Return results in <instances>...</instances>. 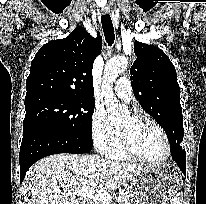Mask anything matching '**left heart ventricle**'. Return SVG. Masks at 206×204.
Instances as JSON below:
<instances>
[{"label":"left heart ventricle","mask_w":206,"mask_h":204,"mask_svg":"<svg viewBox=\"0 0 206 204\" xmlns=\"http://www.w3.org/2000/svg\"><path fill=\"white\" fill-rule=\"evenodd\" d=\"M118 127L129 135L133 146L142 156L152 160L165 156V141L160 132L150 123L135 122L127 115Z\"/></svg>","instance_id":"obj_1"}]
</instances>
